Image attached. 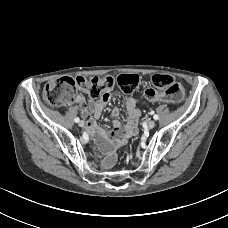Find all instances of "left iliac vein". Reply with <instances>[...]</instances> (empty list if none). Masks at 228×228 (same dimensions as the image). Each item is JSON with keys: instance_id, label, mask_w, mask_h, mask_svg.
Instances as JSON below:
<instances>
[{"instance_id": "obj_1", "label": "left iliac vein", "mask_w": 228, "mask_h": 228, "mask_svg": "<svg viewBox=\"0 0 228 228\" xmlns=\"http://www.w3.org/2000/svg\"><path fill=\"white\" fill-rule=\"evenodd\" d=\"M155 125H156V123H155L154 120H150V121H148V123H147V127H148L149 129L154 128Z\"/></svg>"}]
</instances>
